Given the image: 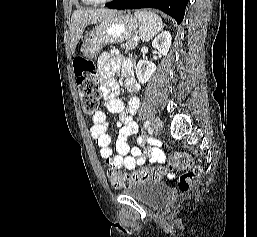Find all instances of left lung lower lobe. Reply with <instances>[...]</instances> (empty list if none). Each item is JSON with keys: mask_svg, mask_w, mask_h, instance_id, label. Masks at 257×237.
<instances>
[{"mask_svg": "<svg viewBox=\"0 0 257 237\" xmlns=\"http://www.w3.org/2000/svg\"><path fill=\"white\" fill-rule=\"evenodd\" d=\"M188 0H117L106 4L111 9L156 8L173 17L178 24L184 18Z\"/></svg>", "mask_w": 257, "mask_h": 237, "instance_id": "0a47b994", "label": "left lung lower lobe"}]
</instances>
